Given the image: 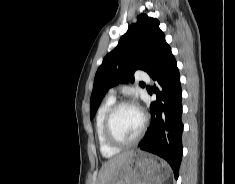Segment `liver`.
<instances>
[{"label": "liver", "instance_id": "6515ba94", "mask_svg": "<svg viewBox=\"0 0 235 184\" xmlns=\"http://www.w3.org/2000/svg\"><path fill=\"white\" fill-rule=\"evenodd\" d=\"M130 154H133V152H124V154H119V156L110 158L108 162H105L98 174L97 184H108L117 168H120V166H123L127 162Z\"/></svg>", "mask_w": 235, "mask_h": 184}]
</instances>
